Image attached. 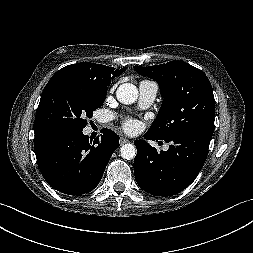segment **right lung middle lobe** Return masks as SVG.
<instances>
[{"mask_svg": "<svg viewBox=\"0 0 253 253\" xmlns=\"http://www.w3.org/2000/svg\"><path fill=\"white\" fill-rule=\"evenodd\" d=\"M107 87L85 78L54 74L43 90L36 112L34 132L48 129L82 131L93 111L101 107Z\"/></svg>", "mask_w": 253, "mask_h": 253, "instance_id": "dd1d6c3e", "label": "right lung middle lobe"}]
</instances>
